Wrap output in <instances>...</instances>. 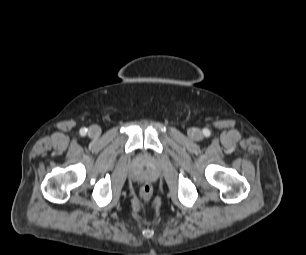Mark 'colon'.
<instances>
[{"label": "colon", "mask_w": 306, "mask_h": 255, "mask_svg": "<svg viewBox=\"0 0 306 255\" xmlns=\"http://www.w3.org/2000/svg\"><path fill=\"white\" fill-rule=\"evenodd\" d=\"M152 186L150 184H144L140 189V196L143 201H149L152 196Z\"/></svg>", "instance_id": "colon-1"}]
</instances>
